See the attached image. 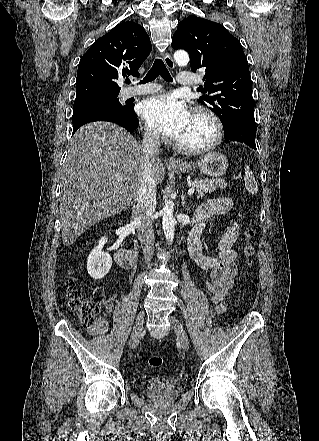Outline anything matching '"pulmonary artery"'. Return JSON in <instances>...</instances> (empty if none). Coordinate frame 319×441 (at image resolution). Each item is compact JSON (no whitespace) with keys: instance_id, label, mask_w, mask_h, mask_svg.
Instances as JSON below:
<instances>
[{"instance_id":"1","label":"pulmonary artery","mask_w":319,"mask_h":441,"mask_svg":"<svg viewBox=\"0 0 319 441\" xmlns=\"http://www.w3.org/2000/svg\"><path fill=\"white\" fill-rule=\"evenodd\" d=\"M200 82L196 74L181 72L177 76V84L183 87L194 86ZM161 88L155 84H148L140 89L129 90L125 93L126 98L158 92Z\"/></svg>"}]
</instances>
